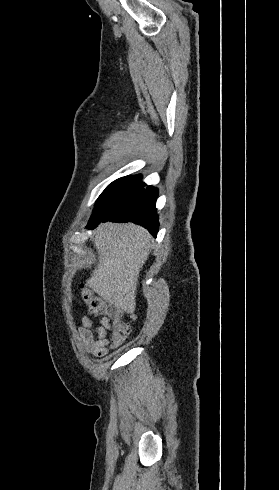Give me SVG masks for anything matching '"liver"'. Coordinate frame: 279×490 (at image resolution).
<instances>
[{"mask_svg": "<svg viewBox=\"0 0 279 490\" xmlns=\"http://www.w3.org/2000/svg\"><path fill=\"white\" fill-rule=\"evenodd\" d=\"M93 242L99 262L86 286L134 314L139 274L152 250L149 232L135 224H100Z\"/></svg>", "mask_w": 279, "mask_h": 490, "instance_id": "obj_1", "label": "liver"}]
</instances>
